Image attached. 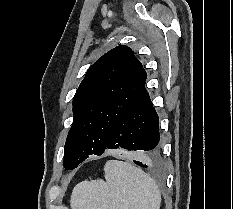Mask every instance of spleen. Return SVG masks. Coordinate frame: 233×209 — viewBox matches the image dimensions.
Segmentation results:
<instances>
[{
  "label": "spleen",
  "instance_id": "3e777b00",
  "mask_svg": "<svg viewBox=\"0 0 233 209\" xmlns=\"http://www.w3.org/2000/svg\"><path fill=\"white\" fill-rule=\"evenodd\" d=\"M105 180H85L71 194V209H159L161 193L155 181L128 162L109 160Z\"/></svg>",
  "mask_w": 233,
  "mask_h": 209
}]
</instances>
